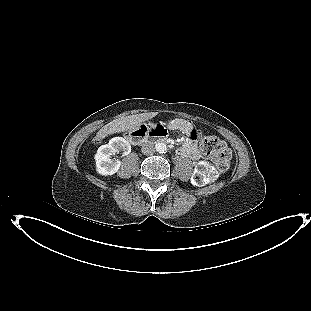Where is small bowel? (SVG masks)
Listing matches in <instances>:
<instances>
[{
	"instance_id": "obj_1",
	"label": "small bowel",
	"mask_w": 311,
	"mask_h": 311,
	"mask_svg": "<svg viewBox=\"0 0 311 311\" xmlns=\"http://www.w3.org/2000/svg\"><path fill=\"white\" fill-rule=\"evenodd\" d=\"M169 128L178 130L186 135V139L179 148V154L192 159H198L200 152L197 147V134L190 122L182 118H175L169 121Z\"/></svg>"
}]
</instances>
